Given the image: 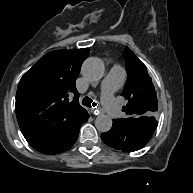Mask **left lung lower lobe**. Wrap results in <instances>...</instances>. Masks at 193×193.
<instances>
[{
    "label": "left lung lower lobe",
    "mask_w": 193,
    "mask_h": 193,
    "mask_svg": "<svg viewBox=\"0 0 193 193\" xmlns=\"http://www.w3.org/2000/svg\"><path fill=\"white\" fill-rule=\"evenodd\" d=\"M157 125L156 120L131 119L122 122L120 119H114L112 129L102 133L101 138L110 147L132 152L141 149L149 142Z\"/></svg>",
    "instance_id": "left-lung-lower-lobe-1"
}]
</instances>
